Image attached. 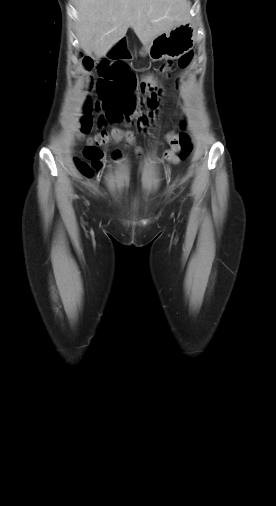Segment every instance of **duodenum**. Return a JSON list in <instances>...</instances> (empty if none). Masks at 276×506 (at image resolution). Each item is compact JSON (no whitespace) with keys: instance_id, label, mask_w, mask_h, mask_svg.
<instances>
[{"instance_id":"duodenum-1","label":"duodenum","mask_w":276,"mask_h":506,"mask_svg":"<svg viewBox=\"0 0 276 506\" xmlns=\"http://www.w3.org/2000/svg\"><path fill=\"white\" fill-rule=\"evenodd\" d=\"M125 38H121L117 45L108 47V56L113 58H132L134 51L130 45H125Z\"/></svg>"}]
</instances>
